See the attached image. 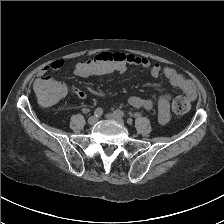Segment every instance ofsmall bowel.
Returning <instances> with one entry per match:
<instances>
[{"instance_id":"obj_1","label":"small bowel","mask_w":224,"mask_h":224,"mask_svg":"<svg viewBox=\"0 0 224 224\" xmlns=\"http://www.w3.org/2000/svg\"><path fill=\"white\" fill-rule=\"evenodd\" d=\"M118 59L122 61V65L127 69L128 66L134 65L143 69H149L153 77H158L161 73L169 80L172 86L181 90L187 98L194 100L196 98V88L194 83L185 78L179 72L172 67H162L159 63L151 64V62L145 58L136 56L130 53H114ZM64 66V60L56 59L52 61L48 66L44 67L39 72V79L47 77V72L51 69L59 72ZM78 76H88L85 72L80 69H76L74 72ZM68 90L80 99H85L86 95L84 92L79 90L74 84H67ZM170 101L171 95L168 93L163 94L157 103L158 118L161 124H166L170 119ZM128 102L131 107L135 109H152L154 106L153 100L149 98H143L140 96H130Z\"/></svg>"}]
</instances>
